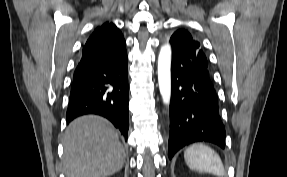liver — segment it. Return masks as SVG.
Segmentation results:
<instances>
[{"instance_id":"1","label":"liver","mask_w":287,"mask_h":177,"mask_svg":"<svg viewBox=\"0 0 287 177\" xmlns=\"http://www.w3.org/2000/svg\"><path fill=\"white\" fill-rule=\"evenodd\" d=\"M63 145L67 177L110 176L120 171L125 162V151L117 130L99 116H82L71 122Z\"/></svg>"}]
</instances>
